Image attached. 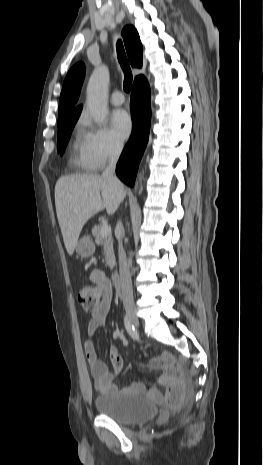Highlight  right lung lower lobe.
Instances as JSON below:
<instances>
[{"label": "right lung lower lobe", "mask_w": 263, "mask_h": 465, "mask_svg": "<svg viewBox=\"0 0 263 465\" xmlns=\"http://www.w3.org/2000/svg\"><path fill=\"white\" fill-rule=\"evenodd\" d=\"M130 107L132 135L119 158L116 174L124 183L133 186L139 162L149 139L151 121L150 87L142 75L134 80Z\"/></svg>", "instance_id": "98d812e1"}]
</instances>
